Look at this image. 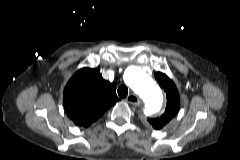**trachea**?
I'll use <instances>...</instances> for the list:
<instances>
[{
  "instance_id": "obj_1",
  "label": "trachea",
  "mask_w": 240,
  "mask_h": 160,
  "mask_svg": "<svg viewBox=\"0 0 240 160\" xmlns=\"http://www.w3.org/2000/svg\"><path fill=\"white\" fill-rule=\"evenodd\" d=\"M118 95L119 97L121 98H125L127 97L128 95V88L125 86V85H121L119 88H118Z\"/></svg>"
}]
</instances>
